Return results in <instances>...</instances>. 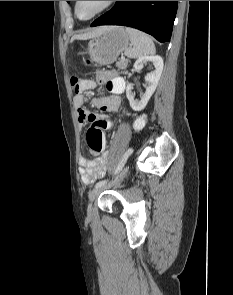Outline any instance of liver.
Returning a JSON list of instances; mask_svg holds the SVG:
<instances>
[{"mask_svg":"<svg viewBox=\"0 0 233 295\" xmlns=\"http://www.w3.org/2000/svg\"><path fill=\"white\" fill-rule=\"evenodd\" d=\"M106 29V27H99V28H96L88 33H84V34H81V35H75L72 37L71 40H87L89 38H93L99 34H101L104 30Z\"/></svg>","mask_w":233,"mask_h":295,"instance_id":"6515ba94","label":"liver"}]
</instances>
